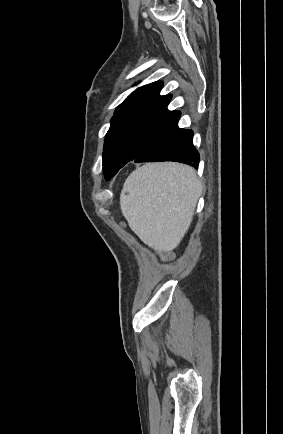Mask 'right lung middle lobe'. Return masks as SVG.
<instances>
[{"instance_id": "obj_1", "label": "right lung middle lobe", "mask_w": 283, "mask_h": 434, "mask_svg": "<svg viewBox=\"0 0 283 434\" xmlns=\"http://www.w3.org/2000/svg\"><path fill=\"white\" fill-rule=\"evenodd\" d=\"M177 121L148 115L113 119L103 151V172L111 179L120 168L134 160L150 143Z\"/></svg>"}]
</instances>
